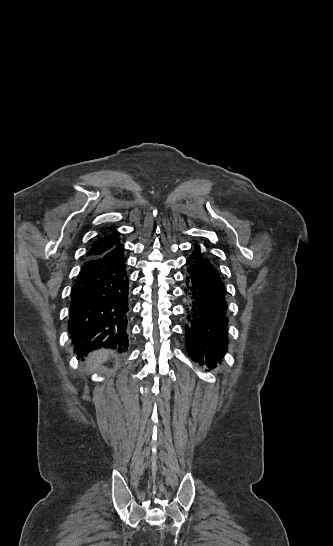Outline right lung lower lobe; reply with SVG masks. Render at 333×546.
<instances>
[{
	"instance_id": "right-lung-lower-lobe-1",
	"label": "right lung lower lobe",
	"mask_w": 333,
	"mask_h": 546,
	"mask_svg": "<svg viewBox=\"0 0 333 546\" xmlns=\"http://www.w3.org/2000/svg\"><path fill=\"white\" fill-rule=\"evenodd\" d=\"M120 244L89 258L71 290L68 330L80 358L101 347H128L129 277Z\"/></svg>"
}]
</instances>
